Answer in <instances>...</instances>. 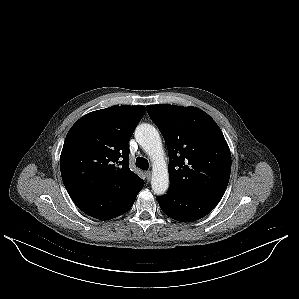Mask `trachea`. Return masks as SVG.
Instances as JSON below:
<instances>
[{
  "label": "trachea",
  "instance_id": "1",
  "mask_svg": "<svg viewBox=\"0 0 299 299\" xmlns=\"http://www.w3.org/2000/svg\"><path fill=\"white\" fill-rule=\"evenodd\" d=\"M136 166L142 170H147L149 168L148 160L142 157L136 159Z\"/></svg>",
  "mask_w": 299,
  "mask_h": 299
}]
</instances>
